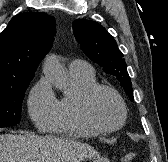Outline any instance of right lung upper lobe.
<instances>
[{"instance_id": "1", "label": "right lung upper lobe", "mask_w": 168, "mask_h": 162, "mask_svg": "<svg viewBox=\"0 0 168 162\" xmlns=\"http://www.w3.org/2000/svg\"><path fill=\"white\" fill-rule=\"evenodd\" d=\"M55 19L46 13L14 16L0 34V84L33 78L56 33Z\"/></svg>"}]
</instances>
